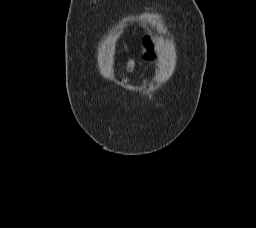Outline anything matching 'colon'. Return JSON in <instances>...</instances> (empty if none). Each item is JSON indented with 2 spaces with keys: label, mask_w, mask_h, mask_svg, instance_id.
<instances>
[{
  "label": "colon",
  "mask_w": 256,
  "mask_h": 228,
  "mask_svg": "<svg viewBox=\"0 0 256 228\" xmlns=\"http://www.w3.org/2000/svg\"><path fill=\"white\" fill-rule=\"evenodd\" d=\"M145 45L148 47V49L150 50L149 51V53H147V57L148 58H151L152 56H153V53H152V51H151V48H152V44H151V42L147 39V40H145Z\"/></svg>",
  "instance_id": "5ec220e1"
}]
</instances>
